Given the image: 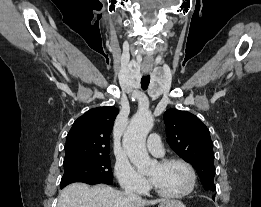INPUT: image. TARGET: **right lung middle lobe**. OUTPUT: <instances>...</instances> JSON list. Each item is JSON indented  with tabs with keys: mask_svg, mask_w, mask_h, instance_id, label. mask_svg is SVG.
<instances>
[{
	"mask_svg": "<svg viewBox=\"0 0 261 207\" xmlns=\"http://www.w3.org/2000/svg\"><path fill=\"white\" fill-rule=\"evenodd\" d=\"M64 175L60 186L73 182L113 180L109 155L64 161Z\"/></svg>",
	"mask_w": 261,
	"mask_h": 207,
	"instance_id": "dd1d6c3e",
	"label": "right lung middle lobe"
}]
</instances>
